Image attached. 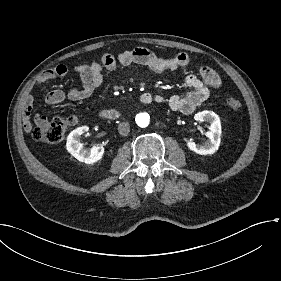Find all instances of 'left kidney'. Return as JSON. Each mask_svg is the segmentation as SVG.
<instances>
[{"label": "left kidney", "instance_id": "obj_1", "mask_svg": "<svg viewBox=\"0 0 281 281\" xmlns=\"http://www.w3.org/2000/svg\"><path fill=\"white\" fill-rule=\"evenodd\" d=\"M194 119L199 122H209V131L206 132L208 140L203 144H196L189 141L187 146L190 150L200 155H207L215 153L221 141V122L219 116L213 111H201L194 115Z\"/></svg>", "mask_w": 281, "mask_h": 281}]
</instances>
